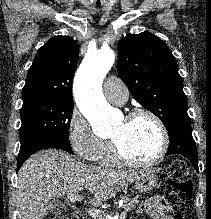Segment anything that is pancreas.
Returning <instances> with one entry per match:
<instances>
[{
	"mask_svg": "<svg viewBox=\"0 0 211 219\" xmlns=\"http://www.w3.org/2000/svg\"><path fill=\"white\" fill-rule=\"evenodd\" d=\"M124 202V210L125 212H128V211H131L132 209H134L138 203H139V200H138V196L135 197V198H129L127 196H123L121 198ZM94 219H107L105 214L104 213H100L98 216H96Z\"/></svg>",
	"mask_w": 211,
	"mask_h": 219,
	"instance_id": "pancreas-1",
	"label": "pancreas"
}]
</instances>
